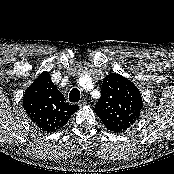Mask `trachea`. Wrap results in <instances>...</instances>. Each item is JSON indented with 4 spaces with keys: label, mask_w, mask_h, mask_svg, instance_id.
Segmentation results:
<instances>
[{
    "label": "trachea",
    "mask_w": 174,
    "mask_h": 174,
    "mask_svg": "<svg viewBox=\"0 0 174 174\" xmlns=\"http://www.w3.org/2000/svg\"><path fill=\"white\" fill-rule=\"evenodd\" d=\"M80 100V91L77 88H73L69 93V101L77 103Z\"/></svg>",
    "instance_id": "obj_1"
}]
</instances>
